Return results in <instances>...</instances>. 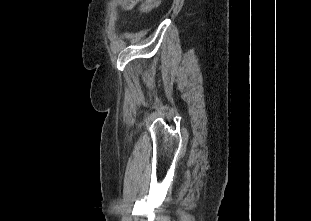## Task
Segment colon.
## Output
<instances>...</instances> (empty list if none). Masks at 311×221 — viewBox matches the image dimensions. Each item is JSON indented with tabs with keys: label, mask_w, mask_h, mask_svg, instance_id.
<instances>
[{
	"label": "colon",
	"mask_w": 311,
	"mask_h": 221,
	"mask_svg": "<svg viewBox=\"0 0 311 221\" xmlns=\"http://www.w3.org/2000/svg\"><path fill=\"white\" fill-rule=\"evenodd\" d=\"M162 0H143L141 3L140 11L142 14L150 13L154 8L158 7ZM121 10L125 8H136V1H121Z\"/></svg>",
	"instance_id": "5ec220e1"
}]
</instances>
